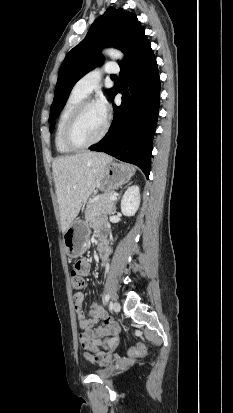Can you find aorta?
Here are the masks:
<instances>
[{
	"label": "aorta",
	"mask_w": 233,
	"mask_h": 413,
	"mask_svg": "<svg viewBox=\"0 0 233 413\" xmlns=\"http://www.w3.org/2000/svg\"><path fill=\"white\" fill-rule=\"evenodd\" d=\"M102 53L106 56L111 57L112 59H117V60H122L124 57L121 51L113 49V48L104 49Z\"/></svg>",
	"instance_id": "obj_1"
}]
</instances>
